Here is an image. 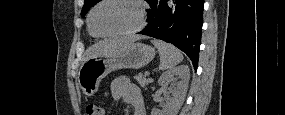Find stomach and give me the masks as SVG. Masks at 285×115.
<instances>
[{
	"instance_id": "0dacf381",
	"label": "stomach",
	"mask_w": 285,
	"mask_h": 115,
	"mask_svg": "<svg viewBox=\"0 0 285 115\" xmlns=\"http://www.w3.org/2000/svg\"><path fill=\"white\" fill-rule=\"evenodd\" d=\"M155 49L149 45L133 42L119 52L90 58L83 63L78 74V83L86 96H93L101 80L115 70L139 69L151 62Z\"/></svg>"
}]
</instances>
